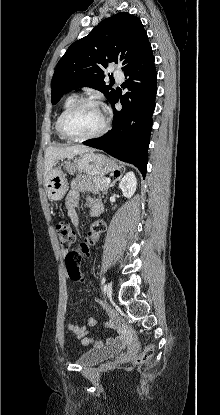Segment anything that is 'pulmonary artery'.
Here are the masks:
<instances>
[{
  "label": "pulmonary artery",
  "mask_w": 220,
  "mask_h": 415,
  "mask_svg": "<svg viewBox=\"0 0 220 415\" xmlns=\"http://www.w3.org/2000/svg\"><path fill=\"white\" fill-rule=\"evenodd\" d=\"M114 77H115V79H116L118 82H122V81H123V79H124V75H123V73H122V72H120V71H116V72L114 73Z\"/></svg>",
  "instance_id": "pulmonary-artery-1"
}]
</instances>
